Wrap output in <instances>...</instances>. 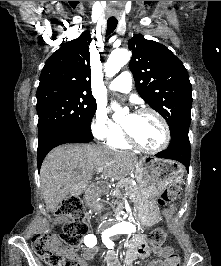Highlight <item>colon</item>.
<instances>
[{"mask_svg":"<svg viewBox=\"0 0 221 266\" xmlns=\"http://www.w3.org/2000/svg\"><path fill=\"white\" fill-rule=\"evenodd\" d=\"M180 189L175 185L169 186L159 197L158 204L166 206L178 200ZM57 215L68 219L59 235L53 233L36 234L32 239L33 249L48 266H75L72 262H65L66 250L62 244L77 246L88 233L86 209L78 198L65 200ZM166 241V233L162 229H154L148 237L151 249L159 248ZM179 256L173 251L169 253L167 266H178Z\"/></svg>","mask_w":221,"mask_h":266,"instance_id":"5ec220e1","label":"colon"}]
</instances>
